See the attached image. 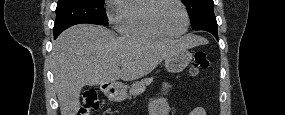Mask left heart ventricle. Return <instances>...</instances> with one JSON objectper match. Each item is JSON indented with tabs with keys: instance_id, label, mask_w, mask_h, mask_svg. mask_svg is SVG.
Wrapping results in <instances>:
<instances>
[{
	"instance_id": "left-heart-ventricle-1",
	"label": "left heart ventricle",
	"mask_w": 285,
	"mask_h": 115,
	"mask_svg": "<svg viewBox=\"0 0 285 115\" xmlns=\"http://www.w3.org/2000/svg\"><path fill=\"white\" fill-rule=\"evenodd\" d=\"M157 20L164 29L171 33L180 32L185 26L183 10L174 1H165L160 4L157 10Z\"/></svg>"
}]
</instances>
